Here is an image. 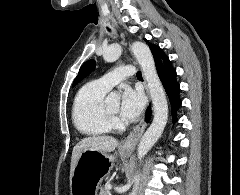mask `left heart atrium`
Wrapping results in <instances>:
<instances>
[{
    "mask_svg": "<svg viewBox=\"0 0 240 195\" xmlns=\"http://www.w3.org/2000/svg\"><path fill=\"white\" fill-rule=\"evenodd\" d=\"M144 107V97L141 92L127 88L122 95L120 111L124 119L135 121Z\"/></svg>",
    "mask_w": 240,
    "mask_h": 195,
    "instance_id": "39dd6f15",
    "label": "left heart atrium"
}]
</instances>
